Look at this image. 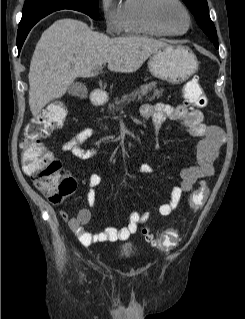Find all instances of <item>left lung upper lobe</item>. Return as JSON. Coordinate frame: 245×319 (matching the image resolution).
I'll use <instances>...</instances> for the list:
<instances>
[{
	"mask_svg": "<svg viewBox=\"0 0 245 319\" xmlns=\"http://www.w3.org/2000/svg\"><path fill=\"white\" fill-rule=\"evenodd\" d=\"M188 6L192 14L195 16L199 26L209 39L218 48L217 33L213 22L208 13V5L206 0H183Z\"/></svg>",
	"mask_w": 245,
	"mask_h": 319,
	"instance_id": "left-lung-upper-lobe-1",
	"label": "left lung upper lobe"
}]
</instances>
